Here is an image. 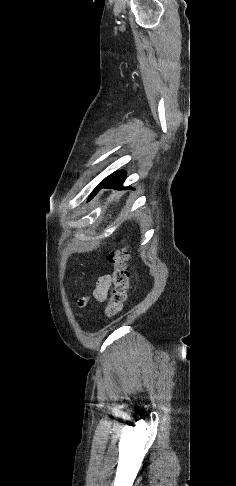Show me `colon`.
<instances>
[{
  "mask_svg": "<svg viewBox=\"0 0 236 486\" xmlns=\"http://www.w3.org/2000/svg\"><path fill=\"white\" fill-rule=\"evenodd\" d=\"M128 252L125 248L115 246L109 253L108 259L113 267V288L109 303L105 309L106 317H114L122 310L129 288Z\"/></svg>",
  "mask_w": 236,
  "mask_h": 486,
  "instance_id": "colon-1",
  "label": "colon"
}]
</instances>
